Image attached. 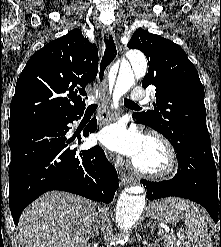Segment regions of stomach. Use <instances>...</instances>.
Segmentation results:
<instances>
[{
	"label": "stomach",
	"mask_w": 221,
	"mask_h": 247,
	"mask_svg": "<svg viewBox=\"0 0 221 247\" xmlns=\"http://www.w3.org/2000/svg\"><path fill=\"white\" fill-rule=\"evenodd\" d=\"M182 202L183 200L179 198H166L157 201L151 206L150 215L165 223H176L183 217Z\"/></svg>",
	"instance_id": "stomach-1"
}]
</instances>
